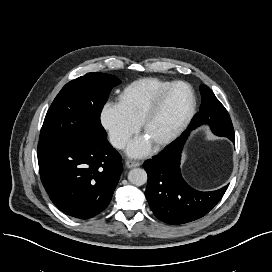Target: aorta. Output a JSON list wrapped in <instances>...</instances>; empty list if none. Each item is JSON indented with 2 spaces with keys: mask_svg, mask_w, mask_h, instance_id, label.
Returning <instances> with one entry per match:
<instances>
[{
  "mask_svg": "<svg viewBox=\"0 0 272 272\" xmlns=\"http://www.w3.org/2000/svg\"><path fill=\"white\" fill-rule=\"evenodd\" d=\"M128 180L137 186L144 185L147 182V173L144 169L134 168L128 173Z\"/></svg>",
  "mask_w": 272,
  "mask_h": 272,
  "instance_id": "762f6f07",
  "label": "aorta"
}]
</instances>
